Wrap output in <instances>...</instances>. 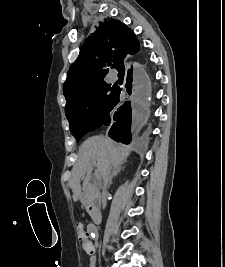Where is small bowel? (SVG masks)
I'll return each mask as SVG.
<instances>
[{"label": "small bowel", "instance_id": "small-bowel-1", "mask_svg": "<svg viewBox=\"0 0 225 267\" xmlns=\"http://www.w3.org/2000/svg\"><path fill=\"white\" fill-rule=\"evenodd\" d=\"M83 232H84V234L86 235V237H87V239H88V242H89L90 245H91V249H90V251H86V252H87L90 256H93L94 253H95V248H94V246H93V244H92V242H91L90 235H91V236L95 235L96 229H95L94 226L89 225V226L87 227V230H86V231L83 230ZM78 235H79V240L81 241V239H80V237H81V232H79Z\"/></svg>", "mask_w": 225, "mask_h": 267}]
</instances>
